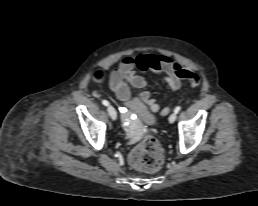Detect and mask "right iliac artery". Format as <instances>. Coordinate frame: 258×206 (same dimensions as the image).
<instances>
[{"instance_id":"right-iliac-artery-1","label":"right iliac artery","mask_w":258,"mask_h":206,"mask_svg":"<svg viewBox=\"0 0 258 206\" xmlns=\"http://www.w3.org/2000/svg\"><path fill=\"white\" fill-rule=\"evenodd\" d=\"M102 104L105 105V106H108L109 105V102L107 100H103L102 101Z\"/></svg>"}]
</instances>
